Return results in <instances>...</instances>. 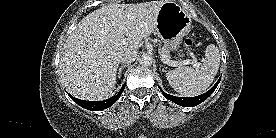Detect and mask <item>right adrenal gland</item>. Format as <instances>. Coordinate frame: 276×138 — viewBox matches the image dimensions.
Listing matches in <instances>:
<instances>
[{"label":"right adrenal gland","instance_id":"2a0ac1e0","mask_svg":"<svg viewBox=\"0 0 276 138\" xmlns=\"http://www.w3.org/2000/svg\"><path fill=\"white\" fill-rule=\"evenodd\" d=\"M127 66H128V64H123L119 67V69H118V78H121L122 69L127 67Z\"/></svg>","mask_w":276,"mask_h":138}]
</instances>
